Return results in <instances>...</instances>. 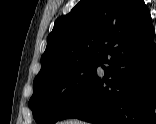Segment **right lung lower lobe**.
Returning a JSON list of instances; mask_svg holds the SVG:
<instances>
[{"label": "right lung lower lobe", "instance_id": "obj_1", "mask_svg": "<svg viewBox=\"0 0 156 124\" xmlns=\"http://www.w3.org/2000/svg\"><path fill=\"white\" fill-rule=\"evenodd\" d=\"M154 34L152 25L131 31L108 48L99 64L106 76L96 75L59 120L77 118L95 124H156Z\"/></svg>", "mask_w": 156, "mask_h": 124}]
</instances>
